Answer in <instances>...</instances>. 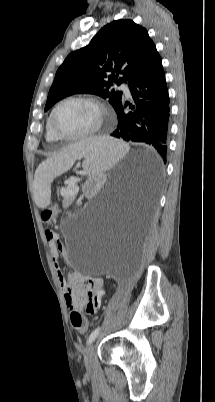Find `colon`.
<instances>
[{
	"mask_svg": "<svg viewBox=\"0 0 215 402\" xmlns=\"http://www.w3.org/2000/svg\"><path fill=\"white\" fill-rule=\"evenodd\" d=\"M57 213H58L57 208L53 207L51 209L44 210L42 212L41 216L44 221L50 222L56 217ZM87 311L89 313L94 312V306L91 303L88 304ZM70 320H71V324L75 330H77L80 333H84L86 331L87 322L79 311L73 310L70 314Z\"/></svg>",
	"mask_w": 215,
	"mask_h": 402,
	"instance_id": "1",
	"label": "colon"
}]
</instances>
